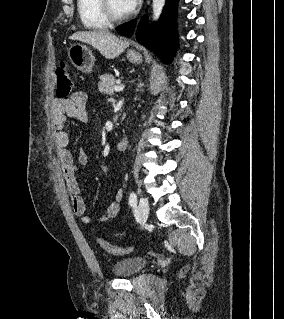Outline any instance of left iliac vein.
I'll list each match as a JSON object with an SVG mask.
<instances>
[{"label": "left iliac vein", "mask_w": 284, "mask_h": 319, "mask_svg": "<svg viewBox=\"0 0 284 319\" xmlns=\"http://www.w3.org/2000/svg\"><path fill=\"white\" fill-rule=\"evenodd\" d=\"M138 210L140 218L143 222L147 220L148 214H149V205L146 198L141 197L138 202Z\"/></svg>", "instance_id": "4c4485c4"}]
</instances>
